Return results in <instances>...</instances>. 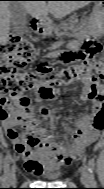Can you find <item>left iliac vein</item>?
I'll use <instances>...</instances> for the list:
<instances>
[{
	"label": "left iliac vein",
	"mask_w": 104,
	"mask_h": 189,
	"mask_svg": "<svg viewBox=\"0 0 104 189\" xmlns=\"http://www.w3.org/2000/svg\"><path fill=\"white\" fill-rule=\"evenodd\" d=\"M81 182L85 186H91L92 180H91L89 169L87 166H84L81 171Z\"/></svg>",
	"instance_id": "1"
}]
</instances>
